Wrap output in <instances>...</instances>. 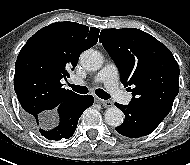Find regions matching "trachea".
<instances>
[{
  "mask_svg": "<svg viewBox=\"0 0 190 165\" xmlns=\"http://www.w3.org/2000/svg\"><path fill=\"white\" fill-rule=\"evenodd\" d=\"M69 86L73 89V91L79 93V94H86L88 93V89L85 86H80V85H74V84H69ZM95 93L98 97H100L101 99H109L110 95L105 92L103 89H96Z\"/></svg>",
  "mask_w": 190,
  "mask_h": 165,
  "instance_id": "obj_1",
  "label": "trachea"
}]
</instances>
